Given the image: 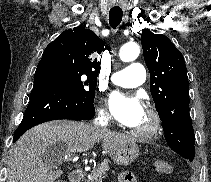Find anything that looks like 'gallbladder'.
Masks as SVG:
<instances>
[{"mask_svg":"<svg viewBox=\"0 0 211 182\" xmlns=\"http://www.w3.org/2000/svg\"><path fill=\"white\" fill-rule=\"evenodd\" d=\"M62 145H63V144H61V149H62ZM57 146H58V144H54V145L49 146V147L46 149V152L44 153L43 158H44L45 160H51L53 154L56 153V148H57Z\"/></svg>","mask_w":211,"mask_h":182,"instance_id":"gallbladder-1","label":"gallbladder"}]
</instances>
